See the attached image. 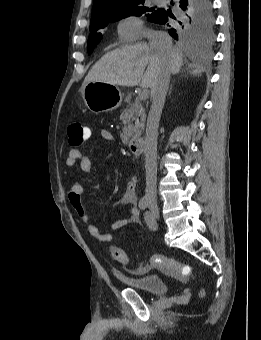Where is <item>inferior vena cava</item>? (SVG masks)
Returning <instances> with one entry per match:
<instances>
[{
    "mask_svg": "<svg viewBox=\"0 0 261 340\" xmlns=\"http://www.w3.org/2000/svg\"><path fill=\"white\" fill-rule=\"evenodd\" d=\"M150 48L165 58L173 52L171 37L162 31H151L148 35ZM170 73L164 72L159 77L156 85L151 90L152 104L149 111L145 136V169H146V190L145 195L149 199H156L157 190V137L158 125L164 106Z\"/></svg>",
    "mask_w": 261,
    "mask_h": 340,
    "instance_id": "602c4592",
    "label": "inferior vena cava"
}]
</instances>
